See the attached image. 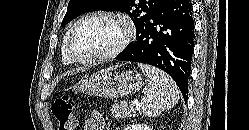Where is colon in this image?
Masks as SVG:
<instances>
[{"mask_svg":"<svg viewBox=\"0 0 249 130\" xmlns=\"http://www.w3.org/2000/svg\"><path fill=\"white\" fill-rule=\"evenodd\" d=\"M52 113L59 130H75L76 119L68 96H62L53 103Z\"/></svg>","mask_w":249,"mask_h":130,"instance_id":"5ec220e1","label":"colon"}]
</instances>
